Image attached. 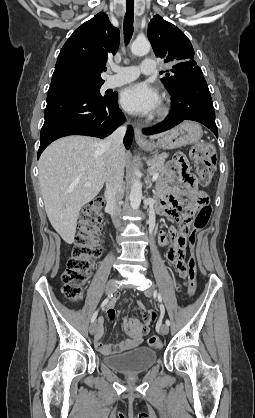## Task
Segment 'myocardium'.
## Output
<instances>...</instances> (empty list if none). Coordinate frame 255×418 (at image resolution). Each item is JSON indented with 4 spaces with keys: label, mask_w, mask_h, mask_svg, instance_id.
Segmentation results:
<instances>
[{
    "label": "myocardium",
    "mask_w": 255,
    "mask_h": 418,
    "mask_svg": "<svg viewBox=\"0 0 255 418\" xmlns=\"http://www.w3.org/2000/svg\"><path fill=\"white\" fill-rule=\"evenodd\" d=\"M167 112H168V108H167V107H164V108L162 109V111H161V114H162V115H166V114H167Z\"/></svg>",
    "instance_id": "f54148a6"
}]
</instances>
